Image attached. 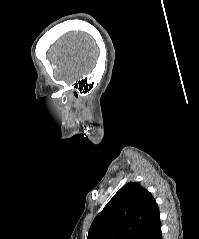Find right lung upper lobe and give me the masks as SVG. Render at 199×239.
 <instances>
[{
    "mask_svg": "<svg viewBox=\"0 0 199 239\" xmlns=\"http://www.w3.org/2000/svg\"><path fill=\"white\" fill-rule=\"evenodd\" d=\"M159 217L150 192L136 182H129L96 216L87 239H140Z\"/></svg>",
    "mask_w": 199,
    "mask_h": 239,
    "instance_id": "cb5924a9",
    "label": "right lung upper lobe"
}]
</instances>
